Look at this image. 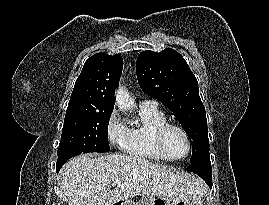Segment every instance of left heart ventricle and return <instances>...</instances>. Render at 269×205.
I'll return each instance as SVG.
<instances>
[{
  "label": "left heart ventricle",
  "instance_id": "1",
  "mask_svg": "<svg viewBox=\"0 0 269 205\" xmlns=\"http://www.w3.org/2000/svg\"><path fill=\"white\" fill-rule=\"evenodd\" d=\"M165 147L170 155L182 157L187 152V142L184 135L177 129H170L165 137Z\"/></svg>",
  "mask_w": 269,
  "mask_h": 205
}]
</instances>
